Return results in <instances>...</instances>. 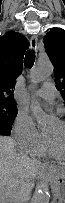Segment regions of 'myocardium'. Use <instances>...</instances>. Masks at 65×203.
Here are the masks:
<instances>
[{
    "label": "myocardium",
    "instance_id": "f54148a6",
    "mask_svg": "<svg viewBox=\"0 0 65 203\" xmlns=\"http://www.w3.org/2000/svg\"><path fill=\"white\" fill-rule=\"evenodd\" d=\"M62 124L65 127V121H63ZM45 140H46L48 150H49L50 154L53 157H55V158H65V153H59L58 150L55 147V144L48 137H46Z\"/></svg>",
    "mask_w": 65,
    "mask_h": 203
}]
</instances>
